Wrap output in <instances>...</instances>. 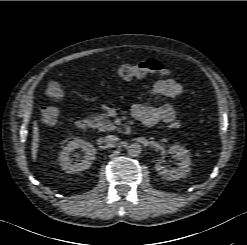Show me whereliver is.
<instances>
[{"instance_id":"6515ba94","label":"liver","mask_w":247,"mask_h":245,"mask_svg":"<svg viewBox=\"0 0 247 245\" xmlns=\"http://www.w3.org/2000/svg\"><path fill=\"white\" fill-rule=\"evenodd\" d=\"M38 147H39V130L37 127V124L34 123L33 125V139H32V145H31V153H32V159L35 160L38 153Z\"/></svg>"}]
</instances>
